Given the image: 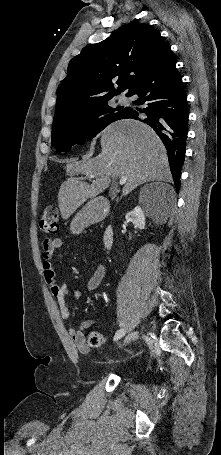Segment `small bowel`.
Instances as JSON below:
<instances>
[{"mask_svg": "<svg viewBox=\"0 0 221 455\" xmlns=\"http://www.w3.org/2000/svg\"><path fill=\"white\" fill-rule=\"evenodd\" d=\"M61 246L62 240L59 238L47 239L44 241L41 268L43 271L44 281L47 283L51 294L57 299L60 317L66 321L70 317V313L65 302L67 295L72 291L73 295L76 298H81L83 293L79 290H73L68 283L58 284L55 282V271L51 260L56 251ZM104 274V266L100 265L88 283L90 290H94L99 286L104 277ZM87 326L88 322L85 321L82 323L80 328L71 327L68 330L69 335L73 339L78 350L83 354L89 352V346L87 345L84 334L82 332V330Z\"/></svg>", "mask_w": 221, "mask_h": 455, "instance_id": "1", "label": "small bowel"}]
</instances>
